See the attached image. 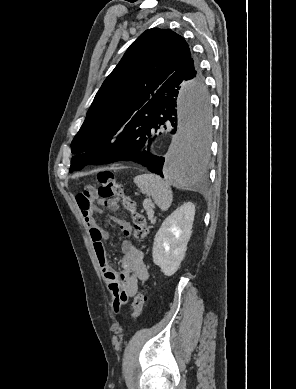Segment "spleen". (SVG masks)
<instances>
[{"mask_svg":"<svg viewBox=\"0 0 296 389\" xmlns=\"http://www.w3.org/2000/svg\"><path fill=\"white\" fill-rule=\"evenodd\" d=\"M134 183L143 194L151 196L162 211H167L171 206L173 200L172 189L159 176L154 174L138 175L134 178Z\"/></svg>","mask_w":296,"mask_h":389,"instance_id":"spleen-1","label":"spleen"}]
</instances>
